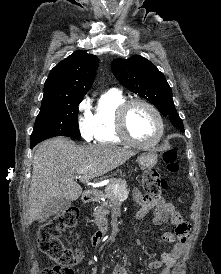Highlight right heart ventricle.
Returning <instances> with one entry per match:
<instances>
[{
    "instance_id": "obj_1",
    "label": "right heart ventricle",
    "mask_w": 221,
    "mask_h": 274,
    "mask_svg": "<svg viewBox=\"0 0 221 274\" xmlns=\"http://www.w3.org/2000/svg\"><path fill=\"white\" fill-rule=\"evenodd\" d=\"M127 100L119 89H109L98 99L93 115L94 138L99 143L122 144L125 141L119 136L116 126L117 111Z\"/></svg>"
}]
</instances>
